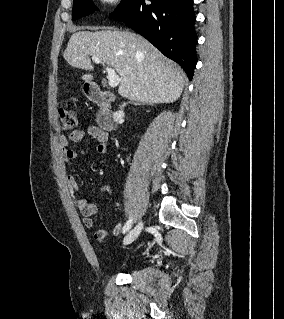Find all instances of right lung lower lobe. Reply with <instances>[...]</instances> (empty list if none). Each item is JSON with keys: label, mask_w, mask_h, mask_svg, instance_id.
I'll return each instance as SVG.
<instances>
[{"label": "right lung lower lobe", "mask_w": 284, "mask_h": 319, "mask_svg": "<svg viewBox=\"0 0 284 319\" xmlns=\"http://www.w3.org/2000/svg\"><path fill=\"white\" fill-rule=\"evenodd\" d=\"M131 0L110 17L125 22L165 56L177 62L192 79L197 63L193 0Z\"/></svg>", "instance_id": "98d812e1"}]
</instances>
